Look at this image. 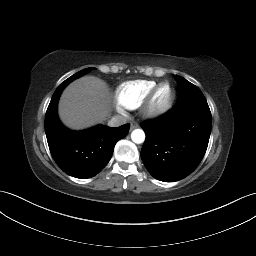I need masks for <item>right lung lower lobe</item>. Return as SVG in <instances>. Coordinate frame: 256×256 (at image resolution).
<instances>
[{
    "label": "right lung lower lobe",
    "instance_id": "right-lung-lower-lobe-1",
    "mask_svg": "<svg viewBox=\"0 0 256 256\" xmlns=\"http://www.w3.org/2000/svg\"><path fill=\"white\" fill-rule=\"evenodd\" d=\"M63 89H56L45 115L49 149L65 173L81 179L91 178L107 165L115 144L128 134L130 125L117 128L99 125L80 132L68 130L57 116V103Z\"/></svg>",
    "mask_w": 256,
    "mask_h": 256
}]
</instances>
